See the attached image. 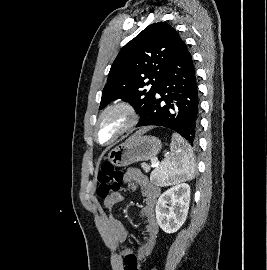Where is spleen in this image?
I'll use <instances>...</instances> for the list:
<instances>
[{"instance_id":"3e777b00","label":"spleen","mask_w":267,"mask_h":270,"mask_svg":"<svg viewBox=\"0 0 267 270\" xmlns=\"http://www.w3.org/2000/svg\"><path fill=\"white\" fill-rule=\"evenodd\" d=\"M160 186L178 184L195 177V159L189 144L177 133L172 135L170 153L156 169Z\"/></svg>"}]
</instances>
